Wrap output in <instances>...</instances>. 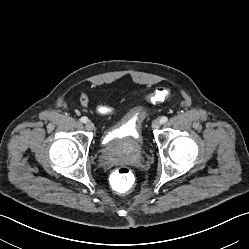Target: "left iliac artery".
<instances>
[{"label": "left iliac artery", "mask_w": 249, "mask_h": 249, "mask_svg": "<svg viewBox=\"0 0 249 249\" xmlns=\"http://www.w3.org/2000/svg\"><path fill=\"white\" fill-rule=\"evenodd\" d=\"M168 121V118L166 117V116H162L161 118H160V123L161 124H164V123H166Z\"/></svg>", "instance_id": "left-iliac-artery-1"}]
</instances>
